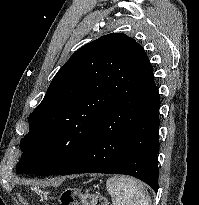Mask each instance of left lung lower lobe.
I'll return each mask as SVG.
<instances>
[{
    "mask_svg": "<svg viewBox=\"0 0 199 205\" xmlns=\"http://www.w3.org/2000/svg\"><path fill=\"white\" fill-rule=\"evenodd\" d=\"M160 98L143 51L131 85L106 113L81 154L59 175L134 176L158 190Z\"/></svg>",
    "mask_w": 199,
    "mask_h": 205,
    "instance_id": "1",
    "label": "left lung lower lobe"
}]
</instances>
